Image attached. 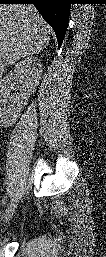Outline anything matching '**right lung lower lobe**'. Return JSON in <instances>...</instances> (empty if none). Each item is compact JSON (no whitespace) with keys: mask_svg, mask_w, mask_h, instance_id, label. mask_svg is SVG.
I'll return each mask as SVG.
<instances>
[{"mask_svg":"<svg viewBox=\"0 0 106 257\" xmlns=\"http://www.w3.org/2000/svg\"><path fill=\"white\" fill-rule=\"evenodd\" d=\"M3 4H34L45 21L53 28L60 47L69 21L73 0H0Z\"/></svg>","mask_w":106,"mask_h":257,"instance_id":"right-lung-lower-lobe-1","label":"right lung lower lobe"}]
</instances>
